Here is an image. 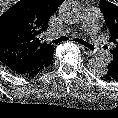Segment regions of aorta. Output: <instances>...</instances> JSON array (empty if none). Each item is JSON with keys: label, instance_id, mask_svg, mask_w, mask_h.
Returning <instances> with one entry per match:
<instances>
[{"label": "aorta", "instance_id": "1", "mask_svg": "<svg viewBox=\"0 0 118 118\" xmlns=\"http://www.w3.org/2000/svg\"><path fill=\"white\" fill-rule=\"evenodd\" d=\"M60 17L67 23H77L82 16L81 7L75 1H67L60 7ZM88 69L91 73L102 75L107 70V65L103 59L99 57L91 58L88 61Z\"/></svg>", "mask_w": 118, "mask_h": 118}]
</instances>
